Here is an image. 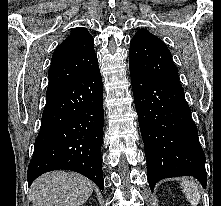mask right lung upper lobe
<instances>
[{
	"instance_id": "obj_1",
	"label": "right lung upper lobe",
	"mask_w": 221,
	"mask_h": 206,
	"mask_svg": "<svg viewBox=\"0 0 221 206\" xmlns=\"http://www.w3.org/2000/svg\"><path fill=\"white\" fill-rule=\"evenodd\" d=\"M97 66L92 35L82 27L76 28L53 53L47 92L79 78Z\"/></svg>"
}]
</instances>
